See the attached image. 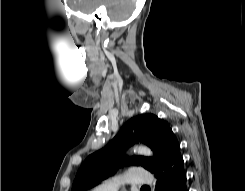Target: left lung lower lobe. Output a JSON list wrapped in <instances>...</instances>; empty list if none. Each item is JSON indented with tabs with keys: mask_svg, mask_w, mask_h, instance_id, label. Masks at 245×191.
Returning a JSON list of instances; mask_svg holds the SVG:
<instances>
[{
	"mask_svg": "<svg viewBox=\"0 0 245 191\" xmlns=\"http://www.w3.org/2000/svg\"><path fill=\"white\" fill-rule=\"evenodd\" d=\"M157 177L155 191H188L184 161L177 149L170 161L154 173Z\"/></svg>",
	"mask_w": 245,
	"mask_h": 191,
	"instance_id": "obj_1",
	"label": "left lung lower lobe"
}]
</instances>
